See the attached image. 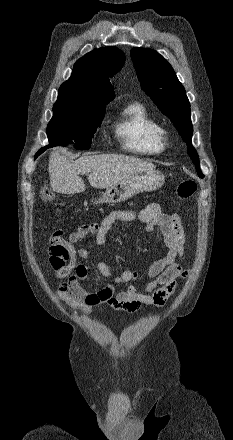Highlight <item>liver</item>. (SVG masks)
<instances>
[{
	"label": "liver",
	"instance_id": "liver-1",
	"mask_svg": "<svg viewBox=\"0 0 233 440\" xmlns=\"http://www.w3.org/2000/svg\"><path fill=\"white\" fill-rule=\"evenodd\" d=\"M48 170L53 191L74 194L86 189L80 175L90 173L88 177L90 185L104 189L134 174L155 170V165L136 157L117 154L82 156L76 161L69 162L56 149L50 154Z\"/></svg>",
	"mask_w": 233,
	"mask_h": 440
}]
</instances>
